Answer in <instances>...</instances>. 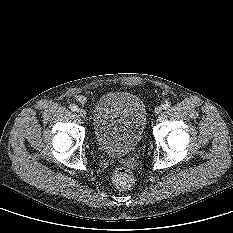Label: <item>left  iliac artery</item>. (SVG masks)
Segmentation results:
<instances>
[{"label": "left iliac artery", "instance_id": "left-iliac-artery-1", "mask_svg": "<svg viewBox=\"0 0 233 233\" xmlns=\"http://www.w3.org/2000/svg\"><path fill=\"white\" fill-rule=\"evenodd\" d=\"M162 106L165 110H167L170 107L169 103H164Z\"/></svg>", "mask_w": 233, "mask_h": 233}]
</instances>
